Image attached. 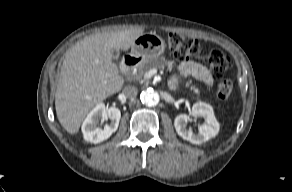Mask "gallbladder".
Instances as JSON below:
<instances>
[{
  "label": "gallbladder",
  "mask_w": 292,
  "mask_h": 192,
  "mask_svg": "<svg viewBox=\"0 0 292 192\" xmlns=\"http://www.w3.org/2000/svg\"><path fill=\"white\" fill-rule=\"evenodd\" d=\"M119 55H120V52L118 49H112V58L114 61L119 60Z\"/></svg>",
  "instance_id": "1"
}]
</instances>
